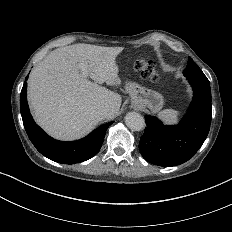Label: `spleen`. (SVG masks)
<instances>
[{
  "label": "spleen",
  "mask_w": 232,
  "mask_h": 232,
  "mask_svg": "<svg viewBox=\"0 0 232 232\" xmlns=\"http://www.w3.org/2000/svg\"><path fill=\"white\" fill-rule=\"evenodd\" d=\"M179 112L173 109H165L159 112L158 116L166 124H176L178 122Z\"/></svg>",
  "instance_id": "spleen-1"
}]
</instances>
